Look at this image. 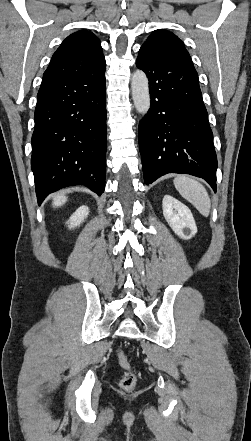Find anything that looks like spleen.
<instances>
[{
	"label": "spleen",
	"instance_id": "spleen-1",
	"mask_svg": "<svg viewBox=\"0 0 251 441\" xmlns=\"http://www.w3.org/2000/svg\"><path fill=\"white\" fill-rule=\"evenodd\" d=\"M173 182L180 195L188 200L200 214L205 217L209 215L211 201L201 183L185 175L177 176Z\"/></svg>",
	"mask_w": 251,
	"mask_h": 441
}]
</instances>
